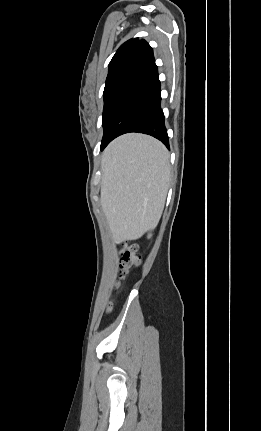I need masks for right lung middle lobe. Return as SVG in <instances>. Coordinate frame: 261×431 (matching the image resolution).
<instances>
[{"instance_id":"dd1d6c3e","label":"right lung middle lobe","mask_w":261,"mask_h":431,"mask_svg":"<svg viewBox=\"0 0 261 431\" xmlns=\"http://www.w3.org/2000/svg\"><path fill=\"white\" fill-rule=\"evenodd\" d=\"M139 73L140 72L137 71H131L124 73L112 80L106 81L103 92L104 108L102 115V125L104 134L101 142V149L105 146L109 139V129L111 127L115 111Z\"/></svg>"}]
</instances>
